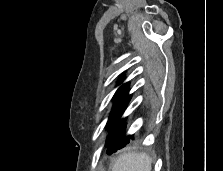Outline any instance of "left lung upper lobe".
I'll use <instances>...</instances> for the list:
<instances>
[{"instance_id": "left-lung-upper-lobe-1", "label": "left lung upper lobe", "mask_w": 223, "mask_h": 171, "mask_svg": "<svg viewBox=\"0 0 223 171\" xmlns=\"http://www.w3.org/2000/svg\"><path fill=\"white\" fill-rule=\"evenodd\" d=\"M130 95H128V83L123 84L118 88L116 91L113 100H114V106L111 111V114L109 116V120L107 123L108 127H111V131L109 136L107 137V140L110 138L112 133L115 131V129L118 127V125L121 123L122 120H119L120 116L124 112L129 100Z\"/></svg>"}]
</instances>
